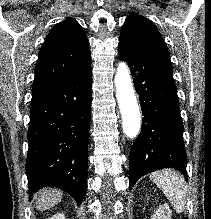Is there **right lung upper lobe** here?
I'll use <instances>...</instances> for the list:
<instances>
[{"instance_id":"right-lung-upper-lobe-1","label":"right lung upper lobe","mask_w":211,"mask_h":219,"mask_svg":"<svg viewBox=\"0 0 211 219\" xmlns=\"http://www.w3.org/2000/svg\"><path fill=\"white\" fill-rule=\"evenodd\" d=\"M89 64V43L82 26L74 19L59 23L40 49L32 95L53 87Z\"/></svg>"}]
</instances>
